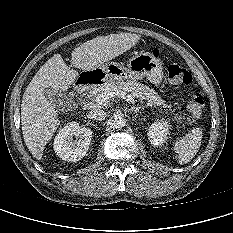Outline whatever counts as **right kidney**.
Segmentation results:
<instances>
[{
    "mask_svg": "<svg viewBox=\"0 0 233 233\" xmlns=\"http://www.w3.org/2000/svg\"><path fill=\"white\" fill-rule=\"evenodd\" d=\"M76 140H73V137ZM92 131L80 127L78 123L66 124L54 139V151L63 160L76 162L82 159L89 149Z\"/></svg>",
    "mask_w": 233,
    "mask_h": 233,
    "instance_id": "right-kidney-1",
    "label": "right kidney"
}]
</instances>
